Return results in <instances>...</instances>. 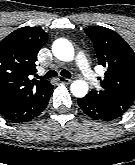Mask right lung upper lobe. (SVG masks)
<instances>
[{"mask_svg": "<svg viewBox=\"0 0 135 165\" xmlns=\"http://www.w3.org/2000/svg\"><path fill=\"white\" fill-rule=\"evenodd\" d=\"M39 27H22L0 42V102L21 95H45L53 86L30 79L36 73L39 49L47 42Z\"/></svg>", "mask_w": 135, "mask_h": 165, "instance_id": "cb5924a9", "label": "right lung upper lobe"}]
</instances>
